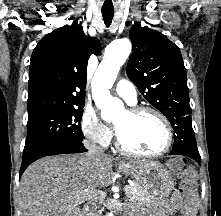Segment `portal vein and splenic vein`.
Masks as SVG:
<instances>
[{
    "label": "portal vein and splenic vein",
    "instance_id": "obj_1",
    "mask_svg": "<svg viewBox=\"0 0 221 216\" xmlns=\"http://www.w3.org/2000/svg\"><path fill=\"white\" fill-rule=\"evenodd\" d=\"M125 191H127V190H129V189H131V187L130 186H125ZM105 197V192H103V191H92L91 192V195H83L81 198H83V199H87V200H89V199H95V200H97V199H101V198H104Z\"/></svg>",
    "mask_w": 221,
    "mask_h": 216
}]
</instances>
